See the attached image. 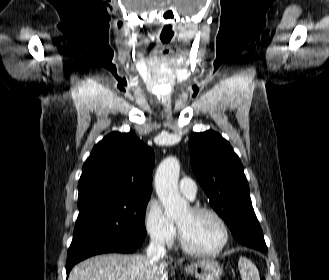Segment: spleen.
Listing matches in <instances>:
<instances>
[{
	"mask_svg": "<svg viewBox=\"0 0 329 280\" xmlns=\"http://www.w3.org/2000/svg\"><path fill=\"white\" fill-rule=\"evenodd\" d=\"M238 268L242 280H260L259 271L255 264L246 257H240Z\"/></svg>",
	"mask_w": 329,
	"mask_h": 280,
	"instance_id": "spleen-1",
	"label": "spleen"
}]
</instances>
